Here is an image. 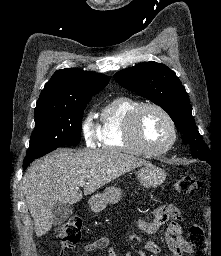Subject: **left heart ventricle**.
I'll list each match as a JSON object with an SVG mask.
<instances>
[{"mask_svg":"<svg viewBox=\"0 0 221 256\" xmlns=\"http://www.w3.org/2000/svg\"><path fill=\"white\" fill-rule=\"evenodd\" d=\"M139 129L142 140L150 148L163 147L171 136L166 118L153 108H147L142 112Z\"/></svg>","mask_w":221,"mask_h":256,"instance_id":"b2bd125f","label":"left heart ventricle"}]
</instances>
